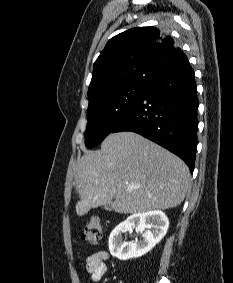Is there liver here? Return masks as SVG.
Returning <instances> with one entry per match:
<instances>
[{
  "label": "liver",
  "mask_w": 233,
  "mask_h": 283,
  "mask_svg": "<svg viewBox=\"0 0 233 283\" xmlns=\"http://www.w3.org/2000/svg\"><path fill=\"white\" fill-rule=\"evenodd\" d=\"M189 177L184 161L165 148L134 132L112 133L101 150L85 153L79 162L76 213L83 216L111 202L124 214L174 208L185 198Z\"/></svg>",
  "instance_id": "liver-1"
}]
</instances>
